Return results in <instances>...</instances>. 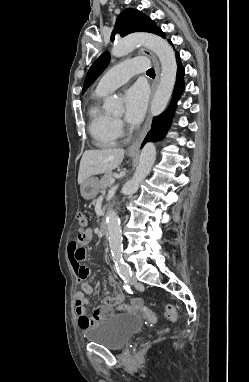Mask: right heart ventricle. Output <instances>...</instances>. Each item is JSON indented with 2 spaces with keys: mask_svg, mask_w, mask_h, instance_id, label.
<instances>
[{
  "mask_svg": "<svg viewBox=\"0 0 249 382\" xmlns=\"http://www.w3.org/2000/svg\"><path fill=\"white\" fill-rule=\"evenodd\" d=\"M107 94L96 90L88 108L89 131L96 145L102 148L114 146L120 137L115 129V119L101 106Z\"/></svg>",
  "mask_w": 249,
  "mask_h": 382,
  "instance_id": "right-heart-ventricle-1",
  "label": "right heart ventricle"
}]
</instances>
